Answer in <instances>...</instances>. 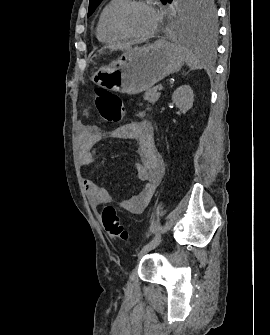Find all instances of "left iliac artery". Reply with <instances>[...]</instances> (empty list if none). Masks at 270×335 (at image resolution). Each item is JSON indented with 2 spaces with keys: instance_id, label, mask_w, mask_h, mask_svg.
<instances>
[{
  "instance_id": "44dca946",
  "label": "left iliac artery",
  "mask_w": 270,
  "mask_h": 335,
  "mask_svg": "<svg viewBox=\"0 0 270 335\" xmlns=\"http://www.w3.org/2000/svg\"><path fill=\"white\" fill-rule=\"evenodd\" d=\"M160 241H161V235L158 232V233H156L155 237L149 243H147L143 248H145V247H153L154 248V247L159 245Z\"/></svg>"
}]
</instances>
